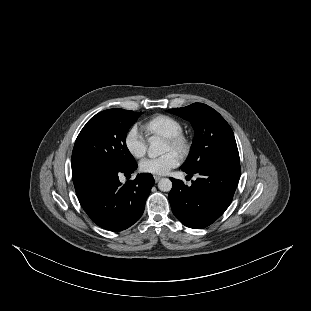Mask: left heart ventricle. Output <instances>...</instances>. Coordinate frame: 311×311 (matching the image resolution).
I'll use <instances>...</instances> for the list:
<instances>
[{"label":"left heart ventricle","instance_id":"left-heart-ventricle-1","mask_svg":"<svg viewBox=\"0 0 311 311\" xmlns=\"http://www.w3.org/2000/svg\"><path fill=\"white\" fill-rule=\"evenodd\" d=\"M175 151L174 147L166 142L164 152Z\"/></svg>","mask_w":311,"mask_h":311}]
</instances>
